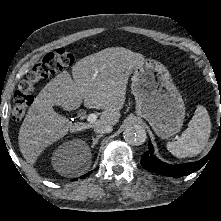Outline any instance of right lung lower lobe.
<instances>
[{
    "label": "right lung lower lobe",
    "mask_w": 221,
    "mask_h": 221,
    "mask_svg": "<svg viewBox=\"0 0 221 221\" xmlns=\"http://www.w3.org/2000/svg\"><path fill=\"white\" fill-rule=\"evenodd\" d=\"M91 173V172H90ZM90 173H88V174H86V175H84V176H88ZM84 176H82L81 178H83ZM77 180V179H76Z\"/></svg>",
    "instance_id": "right-lung-lower-lobe-1"
}]
</instances>
